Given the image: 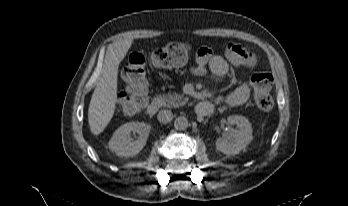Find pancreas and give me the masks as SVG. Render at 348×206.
<instances>
[{
    "instance_id": "obj_1",
    "label": "pancreas",
    "mask_w": 348,
    "mask_h": 206,
    "mask_svg": "<svg viewBox=\"0 0 348 206\" xmlns=\"http://www.w3.org/2000/svg\"><path fill=\"white\" fill-rule=\"evenodd\" d=\"M160 98L163 100L164 106L168 108H178L185 105L188 101V98H184L183 95L178 93H168Z\"/></svg>"
}]
</instances>
